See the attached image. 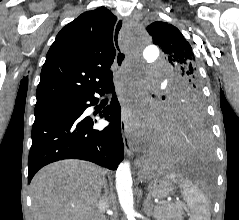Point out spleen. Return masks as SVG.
Returning a JSON list of instances; mask_svg holds the SVG:
<instances>
[{
	"instance_id": "obj_1",
	"label": "spleen",
	"mask_w": 239,
	"mask_h": 220,
	"mask_svg": "<svg viewBox=\"0 0 239 220\" xmlns=\"http://www.w3.org/2000/svg\"><path fill=\"white\" fill-rule=\"evenodd\" d=\"M166 179L179 184L186 203L189 220H210L211 212L204 194L192 182L175 173L167 174Z\"/></svg>"
}]
</instances>
